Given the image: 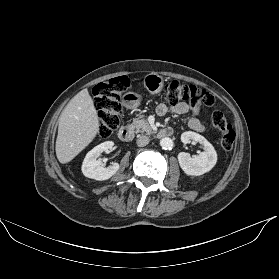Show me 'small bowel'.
<instances>
[{
    "mask_svg": "<svg viewBox=\"0 0 279 279\" xmlns=\"http://www.w3.org/2000/svg\"><path fill=\"white\" fill-rule=\"evenodd\" d=\"M190 110H195L194 107H191L189 104L185 102H180L171 108H168L165 104H160L157 106V114L160 116L166 115L168 112L182 115L188 113ZM188 126L194 131H204V125L197 118H190L188 121Z\"/></svg>",
    "mask_w": 279,
    "mask_h": 279,
    "instance_id": "1",
    "label": "small bowel"
}]
</instances>
